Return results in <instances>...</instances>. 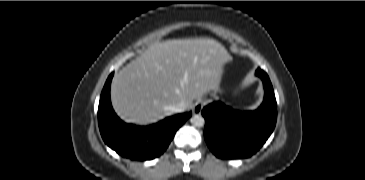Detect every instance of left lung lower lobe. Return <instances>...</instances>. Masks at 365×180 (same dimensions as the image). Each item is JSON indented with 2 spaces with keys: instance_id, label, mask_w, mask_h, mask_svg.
<instances>
[{
  "instance_id": "left-lung-lower-lobe-1",
  "label": "left lung lower lobe",
  "mask_w": 365,
  "mask_h": 180,
  "mask_svg": "<svg viewBox=\"0 0 365 180\" xmlns=\"http://www.w3.org/2000/svg\"><path fill=\"white\" fill-rule=\"evenodd\" d=\"M256 75L263 81L265 90L263 103L257 110L239 112L221 102H214L202 110L206 143L219 158L250 157L262 147L275 128L277 104L272 84L267 73L260 68Z\"/></svg>"
}]
</instances>
